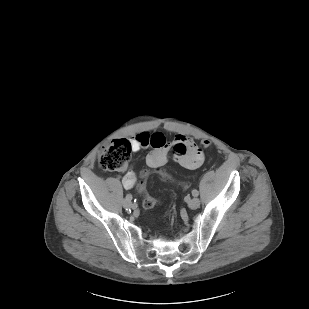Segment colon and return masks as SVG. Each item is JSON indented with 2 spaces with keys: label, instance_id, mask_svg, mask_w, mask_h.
I'll list each match as a JSON object with an SVG mask.
<instances>
[{
  "label": "colon",
  "instance_id": "5ec220e1",
  "mask_svg": "<svg viewBox=\"0 0 309 309\" xmlns=\"http://www.w3.org/2000/svg\"><path fill=\"white\" fill-rule=\"evenodd\" d=\"M210 145L209 141H203L201 146L203 148H208ZM132 152L131 142L127 139H118L110 144L102 147L98 154V163L99 166L110 172H119L126 168L127 163L130 159ZM149 175L148 171L142 173V179L138 182L137 188L143 196L142 204L145 208H152L156 205V200L149 197L144 191V180ZM158 175L161 179L165 181L174 182L171 175L165 169H158ZM177 185L182 186L183 188L188 187L189 183H176Z\"/></svg>",
  "mask_w": 309,
  "mask_h": 309
}]
</instances>
